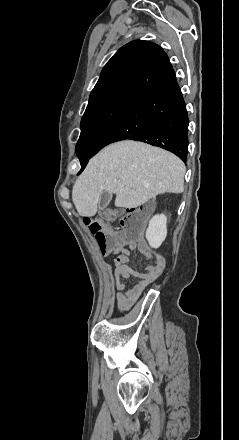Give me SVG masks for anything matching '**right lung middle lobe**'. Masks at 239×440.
Masks as SVG:
<instances>
[{
  "instance_id": "obj_1",
  "label": "right lung middle lobe",
  "mask_w": 239,
  "mask_h": 440,
  "mask_svg": "<svg viewBox=\"0 0 239 440\" xmlns=\"http://www.w3.org/2000/svg\"><path fill=\"white\" fill-rule=\"evenodd\" d=\"M132 97H115L86 109L81 120L77 154L90 153L102 134L115 122Z\"/></svg>"
}]
</instances>
